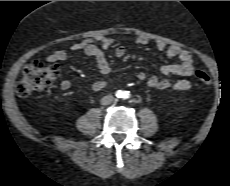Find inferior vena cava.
<instances>
[{
  "instance_id": "602c4592",
  "label": "inferior vena cava",
  "mask_w": 230,
  "mask_h": 186,
  "mask_svg": "<svg viewBox=\"0 0 230 186\" xmlns=\"http://www.w3.org/2000/svg\"><path fill=\"white\" fill-rule=\"evenodd\" d=\"M114 101V97L112 95H106L101 99L102 105H109Z\"/></svg>"
}]
</instances>
